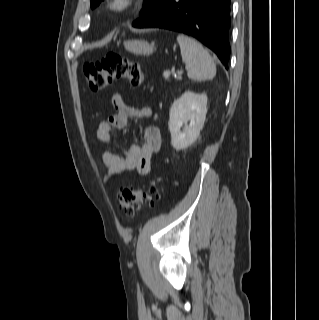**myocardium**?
Returning a JSON list of instances; mask_svg holds the SVG:
<instances>
[{"label": "myocardium", "mask_w": 319, "mask_h": 320, "mask_svg": "<svg viewBox=\"0 0 319 320\" xmlns=\"http://www.w3.org/2000/svg\"><path fill=\"white\" fill-rule=\"evenodd\" d=\"M141 3L142 0H108L106 8L111 14L122 16L133 11Z\"/></svg>", "instance_id": "1"}]
</instances>
